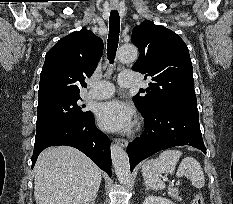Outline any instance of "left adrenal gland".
<instances>
[{
	"label": "left adrenal gland",
	"mask_w": 233,
	"mask_h": 204,
	"mask_svg": "<svg viewBox=\"0 0 233 204\" xmlns=\"http://www.w3.org/2000/svg\"><path fill=\"white\" fill-rule=\"evenodd\" d=\"M149 188H148V186L146 185V190H148Z\"/></svg>",
	"instance_id": "1"
}]
</instances>
